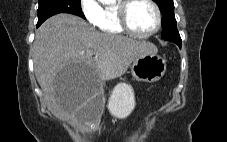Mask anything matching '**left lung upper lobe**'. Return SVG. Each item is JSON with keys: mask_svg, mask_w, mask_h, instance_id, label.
<instances>
[{"mask_svg": "<svg viewBox=\"0 0 227 142\" xmlns=\"http://www.w3.org/2000/svg\"><path fill=\"white\" fill-rule=\"evenodd\" d=\"M155 2L158 4L162 13V38L181 46L182 41L176 26L173 0H155Z\"/></svg>", "mask_w": 227, "mask_h": 142, "instance_id": "left-lung-upper-lobe-1", "label": "left lung upper lobe"}]
</instances>
